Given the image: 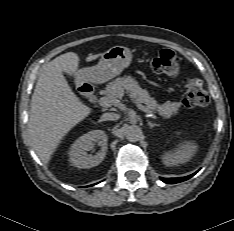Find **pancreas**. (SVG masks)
I'll list each match as a JSON object with an SVG mask.
<instances>
[{
	"mask_svg": "<svg viewBox=\"0 0 234 231\" xmlns=\"http://www.w3.org/2000/svg\"><path fill=\"white\" fill-rule=\"evenodd\" d=\"M106 93L109 99L114 100L115 98L121 99L125 93H128L130 97L138 102L144 103L146 108L149 110H156L159 115L169 118L172 115L177 114L180 104L177 102L167 101L162 105H159L154 98H151L149 93L142 89L138 82L130 76L121 77L110 82L106 86Z\"/></svg>",
	"mask_w": 234,
	"mask_h": 231,
	"instance_id": "obj_1",
	"label": "pancreas"
}]
</instances>
